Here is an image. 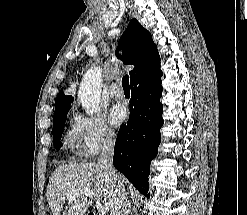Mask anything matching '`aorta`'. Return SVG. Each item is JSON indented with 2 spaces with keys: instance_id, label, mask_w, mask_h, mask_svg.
Wrapping results in <instances>:
<instances>
[{
  "instance_id": "762f6f07",
  "label": "aorta",
  "mask_w": 247,
  "mask_h": 215,
  "mask_svg": "<svg viewBox=\"0 0 247 215\" xmlns=\"http://www.w3.org/2000/svg\"><path fill=\"white\" fill-rule=\"evenodd\" d=\"M102 87V69L91 67L83 76L78 99L87 115H93L100 110V96Z\"/></svg>"
}]
</instances>
